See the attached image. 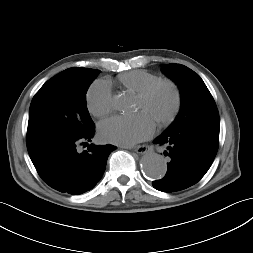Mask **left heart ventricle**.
Here are the masks:
<instances>
[{
	"mask_svg": "<svg viewBox=\"0 0 253 253\" xmlns=\"http://www.w3.org/2000/svg\"><path fill=\"white\" fill-rule=\"evenodd\" d=\"M173 105V94L167 86L158 88L152 96L143 101L137 98L136 110L147 113L154 122L168 115Z\"/></svg>",
	"mask_w": 253,
	"mask_h": 253,
	"instance_id": "obj_1",
	"label": "left heart ventricle"
}]
</instances>
